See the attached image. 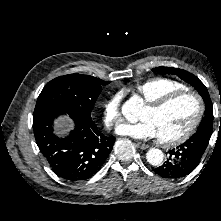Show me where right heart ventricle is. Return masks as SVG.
I'll return each instance as SVG.
<instances>
[{
  "label": "right heart ventricle",
  "instance_id": "right-heart-ventricle-1",
  "mask_svg": "<svg viewBox=\"0 0 221 221\" xmlns=\"http://www.w3.org/2000/svg\"><path fill=\"white\" fill-rule=\"evenodd\" d=\"M185 89L187 87L176 80L166 77H156L139 82L132 88V91L146 103H149L168 93Z\"/></svg>",
  "mask_w": 221,
  "mask_h": 221
}]
</instances>
